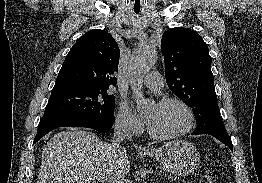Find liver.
<instances>
[{
    "instance_id": "1",
    "label": "liver",
    "mask_w": 262,
    "mask_h": 183,
    "mask_svg": "<svg viewBox=\"0 0 262 183\" xmlns=\"http://www.w3.org/2000/svg\"><path fill=\"white\" fill-rule=\"evenodd\" d=\"M129 170L127 152L119 144L74 128L55 134L46 144L37 183H94L97 175L121 178Z\"/></svg>"
}]
</instances>
